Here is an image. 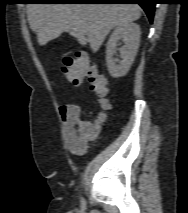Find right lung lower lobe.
I'll return each instance as SVG.
<instances>
[{
  "label": "right lung lower lobe",
  "mask_w": 188,
  "mask_h": 213,
  "mask_svg": "<svg viewBox=\"0 0 188 213\" xmlns=\"http://www.w3.org/2000/svg\"><path fill=\"white\" fill-rule=\"evenodd\" d=\"M76 3H129L139 4L146 12L150 22L153 20L155 4L157 0H72Z\"/></svg>",
  "instance_id": "obj_1"
}]
</instances>
